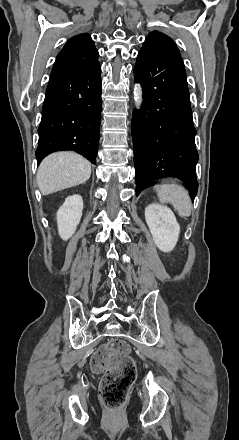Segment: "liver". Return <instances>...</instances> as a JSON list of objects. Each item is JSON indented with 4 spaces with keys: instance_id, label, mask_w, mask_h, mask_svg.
<instances>
[{
    "instance_id": "obj_1",
    "label": "liver",
    "mask_w": 239,
    "mask_h": 440,
    "mask_svg": "<svg viewBox=\"0 0 239 440\" xmlns=\"http://www.w3.org/2000/svg\"><path fill=\"white\" fill-rule=\"evenodd\" d=\"M91 176L88 160L73 152H56L44 158L37 172L38 188L43 194H53L65 188L79 186Z\"/></svg>"
}]
</instances>
